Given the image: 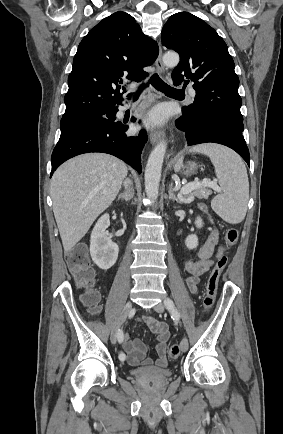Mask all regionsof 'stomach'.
<instances>
[{
    "mask_svg": "<svg viewBox=\"0 0 283 434\" xmlns=\"http://www.w3.org/2000/svg\"><path fill=\"white\" fill-rule=\"evenodd\" d=\"M197 166L195 163H190L187 166H182V172L184 175H192L195 173Z\"/></svg>",
    "mask_w": 283,
    "mask_h": 434,
    "instance_id": "obj_1",
    "label": "stomach"
}]
</instances>
